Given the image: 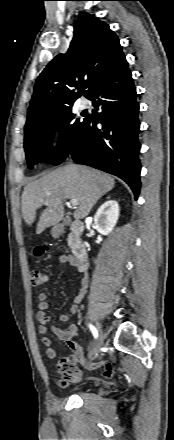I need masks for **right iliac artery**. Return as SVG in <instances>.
Instances as JSON below:
<instances>
[{"label": "right iliac artery", "mask_w": 174, "mask_h": 440, "mask_svg": "<svg viewBox=\"0 0 174 440\" xmlns=\"http://www.w3.org/2000/svg\"><path fill=\"white\" fill-rule=\"evenodd\" d=\"M89 327H90V330H91L92 333H93V336H94L95 338H97V337H98V331H97V329H96L93 325H89Z\"/></svg>", "instance_id": "82829eb1"}]
</instances>
